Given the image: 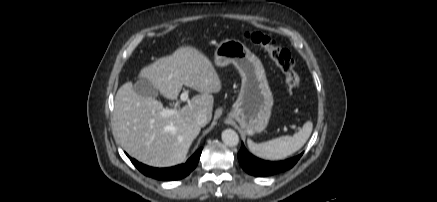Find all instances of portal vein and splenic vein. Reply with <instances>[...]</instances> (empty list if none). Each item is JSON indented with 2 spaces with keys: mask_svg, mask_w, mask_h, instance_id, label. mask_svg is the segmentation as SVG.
Masks as SVG:
<instances>
[{
  "mask_svg": "<svg viewBox=\"0 0 437 202\" xmlns=\"http://www.w3.org/2000/svg\"><path fill=\"white\" fill-rule=\"evenodd\" d=\"M180 99H181L182 101H186V100L188 99V92H187V91H184V92L180 95ZM174 113H176V109H163V110L161 111V114H162L163 116H170V115H172V114H174Z\"/></svg>",
  "mask_w": 437,
  "mask_h": 202,
  "instance_id": "portal-vein-and-splenic-vein-1",
  "label": "portal vein and splenic vein"
}]
</instances>
